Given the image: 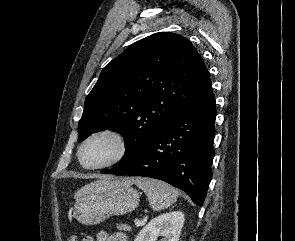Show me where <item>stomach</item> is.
I'll use <instances>...</instances> for the list:
<instances>
[{
    "label": "stomach",
    "instance_id": "0dacf381",
    "mask_svg": "<svg viewBox=\"0 0 295 241\" xmlns=\"http://www.w3.org/2000/svg\"><path fill=\"white\" fill-rule=\"evenodd\" d=\"M139 203L138 192L125 179L111 178L93 182L76 197L73 216L85 225H96L113 215L133 211Z\"/></svg>",
    "mask_w": 295,
    "mask_h": 241
}]
</instances>
